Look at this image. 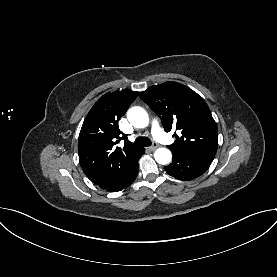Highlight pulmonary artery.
Masks as SVG:
<instances>
[{
    "instance_id": "pulmonary-artery-1",
    "label": "pulmonary artery",
    "mask_w": 277,
    "mask_h": 277,
    "mask_svg": "<svg viewBox=\"0 0 277 277\" xmlns=\"http://www.w3.org/2000/svg\"><path fill=\"white\" fill-rule=\"evenodd\" d=\"M151 132L153 136L162 143H168L169 137L165 134V132L160 127L157 120H153L151 123Z\"/></svg>"
}]
</instances>
